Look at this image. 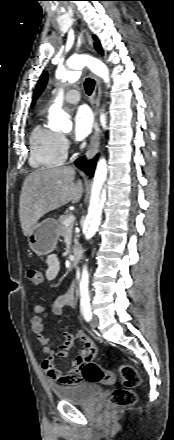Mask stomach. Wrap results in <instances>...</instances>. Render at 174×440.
Returning <instances> with one entry per match:
<instances>
[{"label": "stomach", "mask_w": 174, "mask_h": 440, "mask_svg": "<svg viewBox=\"0 0 174 440\" xmlns=\"http://www.w3.org/2000/svg\"><path fill=\"white\" fill-rule=\"evenodd\" d=\"M58 223L52 218L37 223L28 235L31 250L39 256L51 253L59 238Z\"/></svg>", "instance_id": "0dacf381"}]
</instances>
